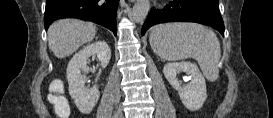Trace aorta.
<instances>
[{
  "label": "aorta",
  "mask_w": 273,
  "mask_h": 118,
  "mask_svg": "<svg viewBox=\"0 0 273 118\" xmlns=\"http://www.w3.org/2000/svg\"><path fill=\"white\" fill-rule=\"evenodd\" d=\"M149 10V0H137L131 13L132 20L136 23H142L147 17Z\"/></svg>",
  "instance_id": "obj_1"
}]
</instances>
